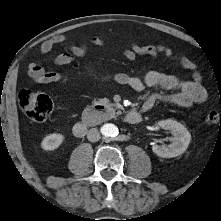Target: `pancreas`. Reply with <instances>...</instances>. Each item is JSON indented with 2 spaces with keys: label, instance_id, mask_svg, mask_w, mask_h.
Returning a JSON list of instances; mask_svg holds the SVG:
<instances>
[{
  "label": "pancreas",
  "instance_id": "1",
  "mask_svg": "<svg viewBox=\"0 0 221 221\" xmlns=\"http://www.w3.org/2000/svg\"><path fill=\"white\" fill-rule=\"evenodd\" d=\"M102 102L104 104L108 105V109H109V113L108 116L106 117H102V116H87V115H83V120L89 125H97L105 120H108L110 118H113L116 114L115 109L113 108V104H109V99H103Z\"/></svg>",
  "mask_w": 221,
  "mask_h": 221
}]
</instances>
